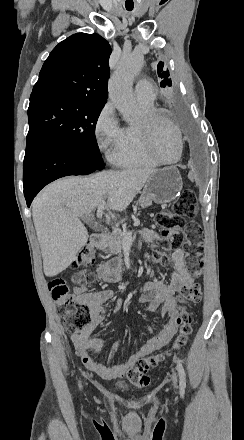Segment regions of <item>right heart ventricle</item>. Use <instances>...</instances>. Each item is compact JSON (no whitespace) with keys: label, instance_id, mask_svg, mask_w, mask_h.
Returning <instances> with one entry per match:
<instances>
[{"label":"right heart ventricle","instance_id":"1","mask_svg":"<svg viewBox=\"0 0 244 440\" xmlns=\"http://www.w3.org/2000/svg\"><path fill=\"white\" fill-rule=\"evenodd\" d=\"M137 104L141 117L154 109L153 102L141 103L137 101ZM140 120L136 123H130L123 129L121 143L130 142V145L128 150L118 149L117 147L121 143L115 147L112 154V160L118 166L133 169L155 168L159 166V163L155 160L153 154H149L148 147L145 146L146 142L142 140V133L146 131L142 130Z\"/></svg>","mask_w":244,"mask_h":440}]
</instances>
